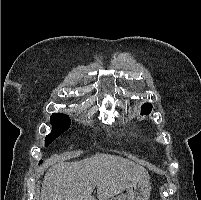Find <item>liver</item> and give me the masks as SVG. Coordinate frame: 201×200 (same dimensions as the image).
Instances as JSON below:
<instances>
[{
    "label": "liver",
    "instance_id": "liver-1",
    "mask_svg": "<svg viewBox=\"0 0 201 200\" xmlns=\"http://www.w3.org/2000/svg\"><path fill=\"white\" fill-rule=\"evenodd\" d=\"M148 171L123 157L96 154L75 162H61L44 176L40 200H109L132 183L149 180Z\"/></svg>",
    "mask_w": 201,
    "mask_h": 200
}]
</instances>
